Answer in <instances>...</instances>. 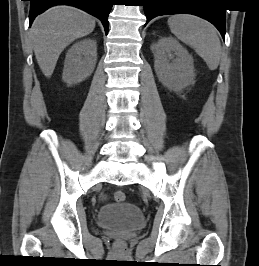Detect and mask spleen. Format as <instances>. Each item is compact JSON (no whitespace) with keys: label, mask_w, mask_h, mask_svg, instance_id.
<instances>
[{"label":"spleen","mask_w":259,"mask_h":266,"mask_svg":"<svg viewBox=\"0 0 259 266\" xmlns=\"http://www.w3.org/2000/svg\"><path fill=\"white\" fill-rule=\"evenodd\" d=\"M171 32L193 48L210 70H216L221 55V43L215 27L208 21L190 14L173 15L168 19Z\"/></svg>","instance_id":"3e777b00"}]
</instances>
